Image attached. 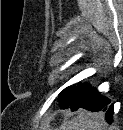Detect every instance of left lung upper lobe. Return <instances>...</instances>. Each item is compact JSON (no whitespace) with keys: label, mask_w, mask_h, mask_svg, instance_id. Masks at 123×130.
<instances>
[{"label":"left lung upper lobe","mask_w":123,"mask_h":130,"mask_svg":"<svg viewBox=\"0 0 123 130\" xmlns=\"http://www.w3.org/2000/svg\"><path fill=\"white\" fill-rule=\"evenodd\" d=\"M85 87L78 86L76 88L67 87L60 92L58 101L61 107L73 108L80 102Z\"/></svg>","instance_id":"5c2ea615"}]
</instances>
